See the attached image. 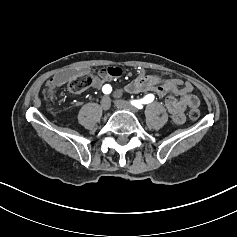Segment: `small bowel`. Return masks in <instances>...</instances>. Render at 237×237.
<instances>
[{"label": "small bowel", "mask_w": 237, "mask_h": 237, "mask_svg": "<svg viewBox=\"0 0 237 237\" xmlns=\"http://www.w3.org/2000/svg\"><path fill=\"white\" fill-rule=\"evenodd\" d=\"M87 71L86 67L62 70L54 77L50 94L53 95L58 88L70 81L77 73ZM122 73V69L116 66L102 68L93 77L91 87L103 88L106 83L119 78ZM193 89L194 87L189 81L162 78L155 74L148 75L144 70H141L138 76L125 87V90L130 93L150 91L158 97L164 98L166 109L171 114L172 120L178 125L185 122L186 109L196 108L199 105L198 98L192 94Z\"/></svg>", "instance_id": "obj_1"}]
</instances>
